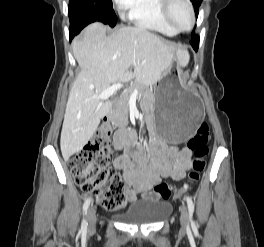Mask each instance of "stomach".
Segmentation results:
<instances>
[{
    "instance_id": "obj_1",
    "label": "stomach",
    "mask_w": 264,
    "mask_h": 247,
    "mask_svg": "<svg viewBox=\"0 0 264 247\" xmlns=\"http://www.w3.org/2000/svg\"><path fill=\"white\" fill-rule=\"evenodd\" d=\"M182 67V63H170L153 91L155 129L161 138L173 143L189 141L204 118L198 95L185 91L179 82Z\"/></svg>"
}]
</instances>
